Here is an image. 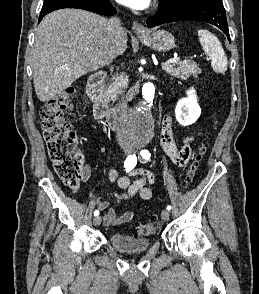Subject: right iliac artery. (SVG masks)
Segmentation results:
<instances>
[{"instance_id":"82829eb1","label":"right iliac artery","mask_w":259,"mask_h":294,"mask_svg":"<svg viewBox=\"0 0 259 294\" xmlns=\"http://www.w3.org/2000/svg\"><path fill=\"white\" fill-rule=\"evenodd\" d=\"M137 164V157L135 154L133 155H129L125 162H124V168L126 170V172H129L131 169H133ZM94 215L95 216H98L99 215V211L98 210H95L94 211Z\"/></svg>"}]
</instances>
